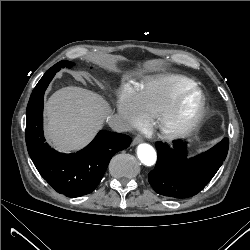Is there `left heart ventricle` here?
Instances as JSON below:
<instances>
[{"label": "left heart ventricle", "mask_w": 250, "mask_h": 250, "mask_svg": "<svg viewBox=\"0 0 250 250\" xmlns=\"http://www.w3.org/2000/svg\"><path fill=\"white\" fill-rule=\"evenodd\" d=\"M198 104V98L197 96H190L186 99V101L183 104L182 108V114L189 115L191 114L197 107Z\"/></svg>", "instance_id": "obj_1"}]
</instances>
